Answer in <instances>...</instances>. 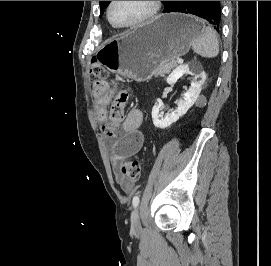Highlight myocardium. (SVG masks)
I'll return each instance as SVG.
<instances>
[{
    "instance_id": "obj_1",
    "label": "myocardium",
    "mask_w": 271,
    "mask_h": 266,
    "mask_svg": "<svg viewBox=\"0 0 271 266\" xmlns=\"http://www.w3.org/2000/svg\"><path fill=\"white\" fill-rule=\"evenodd\" d=\"M114 2L115 1H110V3L108 4L107 19H108L109 23L114 28H117V29H133V28L139 27V26L151 21L160 10V1H149V10L147 11V13L143 17H141L139 20H137L131 24L119 25V24H116L112 20V17H111V9H112Z\"/></svg>"
}]
</instances>
